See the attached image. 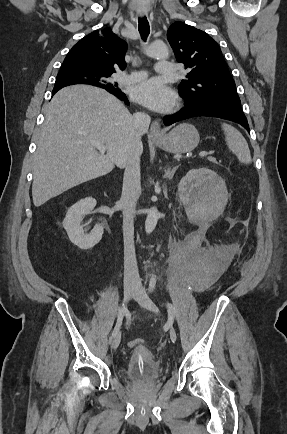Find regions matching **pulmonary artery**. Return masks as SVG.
Wrapping results in <instances>:
<instances>
[{"label": "pulmonary artery", "instance_id": "1", "mask_svg": "<svg viewBox=\"0 0 287 434\" xmlns=\"http://www.w3.org/2000/svg\"><path fill=\"white\" fill-rule=\"evenodd\" d=\"M155 70L161 75H173L176 72V68L169 62H158L155 65ZM147 77L145 71H132L130 74H125L121 77L123 82L135 83L139 82Z\"/></svg>", "mask_w": 287, "mask_h": 434}]
</instances>
